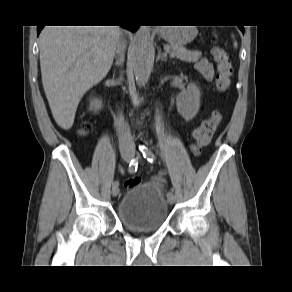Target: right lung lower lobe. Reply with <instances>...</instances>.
<instances>
[{"mask_svg": "<svg viewBox=\"0 0 292 292\" xmlns=\"http://www.w3.org/2000/svg\"><path fill=\"white\" fill-rule=\"evenodd\" d=\"M122 27H125L133 32H135L139 26L137 25H123ZM43 26H37V34L39 35L40 31L42 30Z\"/></svg>", "mask_w": 292, "mask_h": 292, "instance_id": "1", "label": "right lung lower lobe"}]
</instances>
